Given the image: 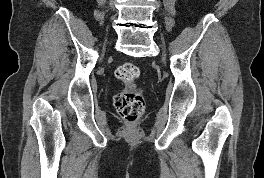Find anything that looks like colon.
Instances as JSON below:
<instances>
[{
    "label": "colon",
    "instance_id": "1",
    "mask_svg": "<svg viewBox=\"0 0 264 178\" xmlns=\"http://www.w3.org/2000/svg\"><path fill=\"white\" fill-rule=\"evenodd\" d=\"M139 73V68L130 62L122 64L115 71V76L126 88L115 95L114 105L122 118L130 123H134L141 116L145 107L142 92L135 84Z\"/></svg>",
    "mask_w": 264,
    "mask_h": 178
}]
</instances>
